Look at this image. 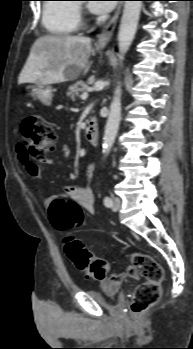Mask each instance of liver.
I'll return each instance as SVG.
<instances>
[{"mask_svg": "<svg viewBox=\"0 0 193 349\" xmlns=\"http://www.w3.org/2000/svg\"><path fill=\"white\" fill-rule=\"evenodd\" d=\"M91 39L71 35H44L36 39L18 83L56 84L67 80V68L86 74L92 62Z\"/></svg>", "mask_w": 193, "mask_h": 349, "instance_id": "liver-1", "label": "liver"}]
</instances>
